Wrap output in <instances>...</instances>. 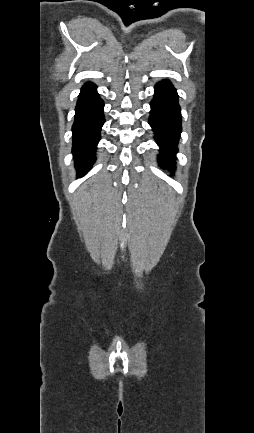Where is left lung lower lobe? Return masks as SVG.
<instances>
[{"label":"left lung lower lobe","instance_id":"obj_1","mask_svg":"<svg viewBox=\"0 0 254 433\" xmlns=\"http://www.w3.org/2000/svg\"><path fill=\"white\" fill-rule=\"evenodd\" d=\"M149 124L160 146L159 164L162 168L175 169V153L181 135V110L178 94L169 81H161L155 86L154 99L151 102Z\"/></svg>","mask_w":254,"mask_h":433}]
</instances>
